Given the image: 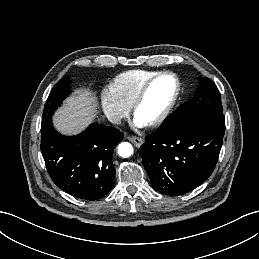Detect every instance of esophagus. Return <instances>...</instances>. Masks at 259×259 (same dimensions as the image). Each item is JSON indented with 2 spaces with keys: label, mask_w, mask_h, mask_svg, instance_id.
Returning <instances> with one entry per match:
<instances>
[{
  "label": "esophagus",
  "mask_w": 259,
  "mask_h": 259,
  "mask_svg": "<svg viewBox=\"0 0 259 259\" xmlns=\"http://www.w3.org/2000/svg\"><path fill=\"white\" fill-rule=\"evenodd\" d=\"M127 139L134 143L136 147H140L143 143V139L136 136H128Z\"/></svg>",
  "instance_id": "34e87169"
}]
</instances>
